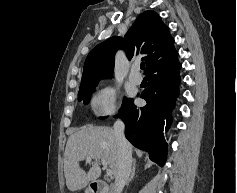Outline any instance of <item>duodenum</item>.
Here are the masks:
<instances>
[{"label":"duodenum","instance_id":"obj_1","mask_svg":"<svg viewBox=\"0 0 237 193\" xmlns=\"http://www.w3.org/2000/svg\"><path fill=\"white\" fill-rule=\"evenodd\" d=\"M91 193H109V186L104 181H94L91 184Z\"/></svg>","mask_w":237,"mask_h":193}]
</instances>
